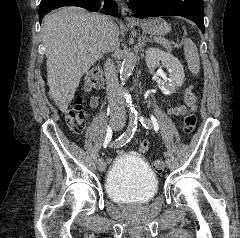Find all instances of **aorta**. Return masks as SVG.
Masks as SVG:
<instances>
[{
    "label": "aorta",
    "mask_w": 240,
    "mask_h": 238,
    "mask_svg": "<svg viewBox=\"0 0 240 238\" xmlns=\"http://www.w3.org/2000/svg\"><path fill=\"white\" fill-rule=\"evenodd\" d=\"M136 61L137 55L135 52L130 51L124 56L120 67V80L122 84H125V82L128 80L129 76L131 75L134 69ZM126 102L128 103L130 114L136 113L134 107L132 106L131 100L127 98Z\"/></svg>",
    "instance_id": "1"
}]
</instances>
